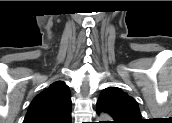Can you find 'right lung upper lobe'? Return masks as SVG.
I'll list each match as a JSON object with an SVG mask.
<instances>
[{"label": "right lung upper lobe", "instance_id": "cb5924a9", "mask_svg": "<svg viewBox=\"0 0 172 123\" xmlns=\"http://www.w3.org/2000/svg\"><path fill=\"white\" fill-rule=\"evenodd\" d=\"M71 108L69 87L57 81L32 100L24 123H71Z\"/></svg>", "mask_w": 172, "mask_h": 123}]
</instances>
